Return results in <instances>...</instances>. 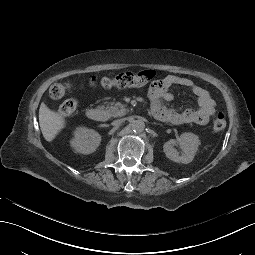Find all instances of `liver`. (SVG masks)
Returning a JSON list of instances; mask_svg holds the SVG:
<instances>
[{"label": "liver", "instance_id": "6515ba94", "mask_svg": "<svg viewBox=\"0 0 255 255\" xmlns=\"http://www.w3.org/2000/svg\"><path fill=\"white\" fill-rule=\"evenodd\" d=\"M39 124L45 140L52 143L66 128V117L57 111L50 109L44 102L39 109Z\"/></svg>", "mask_w": 255, "mask_h": 255}]
</instances>
